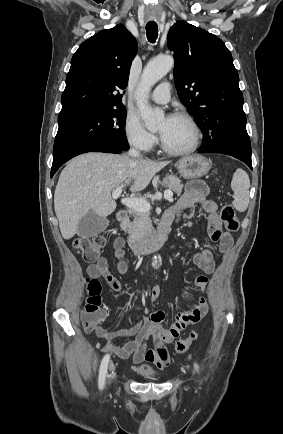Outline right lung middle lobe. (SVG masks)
Masks as SVG:
<instances>
[{
  "label": "right lung middle lobe",
  "instance_id": "dd1d6c3e",
  "mask_svg": "<svg viewBox=\"0 0 283 434\" xmlns=\"http://www.w3.org/2000/svg\"><path fill=\"white\" fill-rule=\"evenodd\" d=\"M125 107L72 113L58 117L53 159L88 143L104 142L123 150L129 148L125 134Z\"/></svg>",
  "mask_w": 283,
  "mask_h": 434
}]
</instances>
